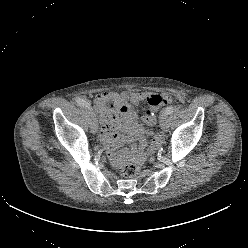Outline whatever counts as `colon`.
<instances>
[{
	"label": "colon",
	"instance_id": "5ec220e1",
	"mask_svg": "<svg viewBox=\"0 0 248 248\" xmlns=\"http://www.w3.org/2000/svg\"><path fill=\"white\" fill-rule=\"evenodd\" d=\"M170 102V98L164 95H151L147 100V105L143 112V121L148 126H153L156 123L155 110ZM140 171V166L137 163H129L124 166L122 173L125 177H135Z\"/></svg>",
	"mask_w": 248,
	"mask_h": 248
}]
</instances>
